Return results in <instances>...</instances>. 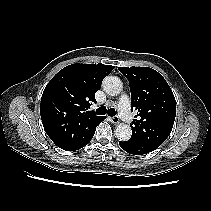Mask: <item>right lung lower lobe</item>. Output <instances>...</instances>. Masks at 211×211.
<instances>
[{
	"mask_svg": "<svg viewBox=\"0 0 211 211\" xmlns=\"http://www.w3.org/2000/svg\"><path fill=\"white\" fill-rule=\"evenodd\" d=\"M103 120H104V118L101 121H103ZM95 130H96V127L93 129V131L88 135V137L84 140V142L76 150L86 146L91 141V139L95 133Z\"/></svg>",
	"mask_w": 211,
	"mask_h": 211,
	"instance_id": "obj_1",
	"label": "right lung lower lobe"
}]
</instances>
